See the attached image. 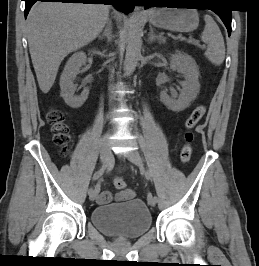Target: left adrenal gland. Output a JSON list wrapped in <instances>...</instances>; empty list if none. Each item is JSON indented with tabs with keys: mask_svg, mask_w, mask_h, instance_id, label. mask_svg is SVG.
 <instances>
[{
	"mask_svg": "<svg viewBox=\"0 0 259 266\" xmlns=\"http://www.w3.org/2000/svg\"><path fill=\"white\" fill-rule=\"evenodd\" d=\"M156 40L160 42H164L165 38L162 35H155L154 29L150 27L148 42L152 43L153 41H156Z\"/></svg>",
	"mask_w": 259,
	"mask_h": 266,
	"instance_id": "a2214340",
	"label": "left adrenal gland"
}]
</instances>
